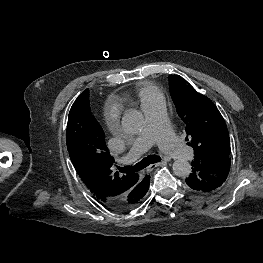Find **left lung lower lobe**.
Wrapping results in <instances>:
<instances>
[{
	"mask_svg": "<svg viewBox=\"0 0 263 263\" xmlns=\"http://www.w3.org/2000/svg\"><path fill=\"white\" fill-rule=\"evenodd\" d=\"M231 159L219 155L209 159L194 158L192 173L186 178L187 185L202 193H208L220 187L229 174Z\"/></svg>",
	"mask_w": 263,
	"mask_h": 263,
	"instance_id": "0a47b994",
	"label": "left lung lower lobe"
}]
</instances>
